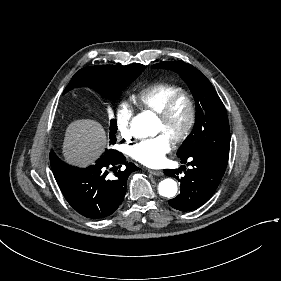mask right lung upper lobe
<instances>
[{"label":"right lung upper lobe","instance_id":"1","mask_svg":"<svg viewBox=\"0 0 281 281\" xmlns=\"http://www.w3.org/2000/svg\"><path fill=\"white\" fill-rule=\"evenodd\" d=\"M132 66L133 64L128 66L102 65L83 68L72 77L64 93L77 87H90L89 83L92 81H97L102 84L121 82L129 77V70Z\"/></svg>","mask_w":281,"mask_h":281}]
</instances>
